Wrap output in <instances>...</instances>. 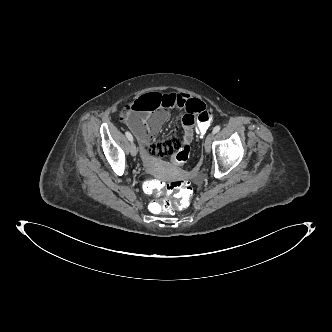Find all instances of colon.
Returning a JSON list of instances; mask_svg holds the SVG:
<instances>
[{
	"instance_id": "5ec220e1",
	"label": "colon",
	"mask_w": 332,
	"mask_h": 332,
	"mask_svg": "<svg viewBox=\"0 0 332 332\" xmlns=\"http://www.w3.org/2000/svg\"><path fill=\"white\" fill-rule=\"evenodd\" d=\"M213 118L211 110H204L197 116L195 135L199 139H204L208 135L209 125ZM194 154V149L190 145H184L179 151L169 155L166 163L170 167H178L182 163H188ZM145 191L149 194H160L167 197L174 195V200H164L155 198L151 202V209L155 213H168L174 209L189 210L193 206V186L188 179H176L169 182H162L156 179H149L145 183Z\"/></svg>"
}]
</instances>
